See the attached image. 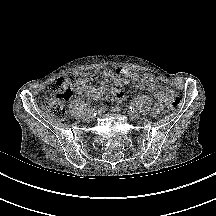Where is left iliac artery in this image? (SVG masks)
<instances>
[{
	"label": "left iliac artery",
	"instance_id": "obj_1",
	"mask_svg": "<svg viewBox=\"0 0 216 216\" xmlns=\"http://www.w3.org/2000/svg\"><path fill=\"white\" fill-rule=\"evenodd\" d=\"M129 109H130V111H136L137 110V108L134 104L131 105Z\"/></svg>",
	"mask_w": 216,
	"mask_h": 216
}]
</instances>
